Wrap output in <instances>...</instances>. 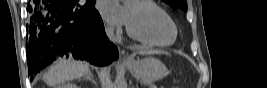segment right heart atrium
Masks as SVG:
<instances>
[{"mask_svg": "<svg viewBox=\"0 0 267 88\" xmlns=\"http://www.w3.org/2000/svg\"><path fill=\"white\" fill-rule=\"evenodd\" d=\"M107 30L110 32V31H111V28H110V27H108V28H107Z\"/></svg>", "mask_w": 267, "mask_h": 88, "instance_id": "1", "label": "right heart atrium"}]
</instances>
